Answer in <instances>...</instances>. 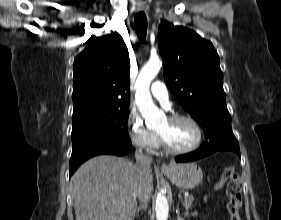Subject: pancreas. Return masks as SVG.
Returning <instances> with one entry per match:
<instances>
[{
  "mask_svg": "<svg viewBox=\"0 0 281 220\" xmlns=\"http://www.w3.org/2000/svg\"><path fill=\"white\" fill-rule=\"evenodd\" d=\"M194 198L193 196L184 197L183 206L188 210L193 206Z\"/></svg>",
  "mask_w": 281,
  "mask_h": 220,
  "instance_id": "1",
  "label": "pancreas"
}]
</instances>
